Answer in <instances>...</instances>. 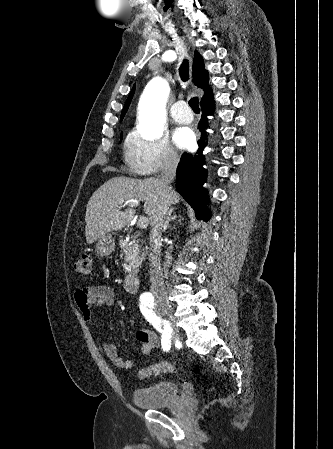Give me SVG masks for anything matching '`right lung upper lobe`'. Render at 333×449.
Listing matches in <instances>:
<instances>
[{"label": "right lung upper lobe", "mask_w": 333, "mask_h": 449, "mask_svg": "<svg viewBox=\"0 0 333 449\" xmlns=\"http://www.w3.org/2000/svg\"><path fill=\"white\" fill-rule=\"evenodd\" d=\"M208 72L204 69V62L203 58L200 56V54L195 51L194 54V62H193V82L194 84L204 90V96H207L211 93V89L208 85ZM135 90V86H133L132 91L125 103V106L122 110L121 119L125 115L126 111L128 110L129 104L131 102V99L133 97Z\"/></svg>", "instance_id": "right-lung-upper-lobe-1"}]
</instances>
